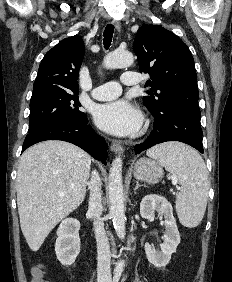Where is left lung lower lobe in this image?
<instances>
[{
    "instance_id": "0a47b994",
    "label": "left lung lower lobe",
    "mask_w": 232,
    "mask_h": 282,
    "mask_svg": "<svg viewBox=\"0 0 232 282\" xmlns=\"http://www.w3.org/2000/svg\"><path fill=\"white\" fill-rule=\"evenodd\" d=\"M149 111L154 117V128L144 143L135 146L136 154L166 141H180L203 153L201 113L196 99L176 98L158 111Z\"/></svg>"
}]
</instances>
